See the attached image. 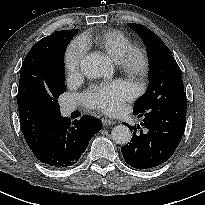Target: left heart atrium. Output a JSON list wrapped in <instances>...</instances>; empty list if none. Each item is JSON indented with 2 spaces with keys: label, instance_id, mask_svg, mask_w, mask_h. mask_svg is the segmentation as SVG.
<instances>
[{
  "label": "left heart atrium",
  "instance_id": "obj_1",
  "mask_svg": "<svg viewBox=\"0 0 205 205\" xmlns=\"http://www.w3.org/2000/svg\"><path fill=\"white\" fill-rule=\"evenodd\" d=\"M135 94V86L127 80H116L91 86L85 92L84 104L103 112H116Z\"/></svg>",
  "mask_w": 205,
  "mask_h": 205
}]
</instances>
